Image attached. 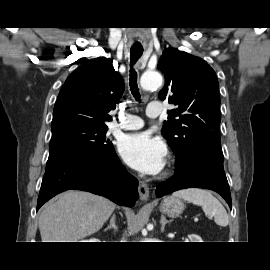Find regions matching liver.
<instances>
[{"mask_svg": "<svg viewBox=\"0 0 270 270\" xmlns=\"http://www.w3.org/2000/svg\"><path fill=\"white\" fill-rule=\"evenodd\" d=\"M115 204L98 195L67 191L47 203L39 217L42 242H77L99 231Z\"/></svg>", "mask_w": 270, "mask_h": 270, "instance_id": "6515ba94", "label": "liver"}]
</instances>
